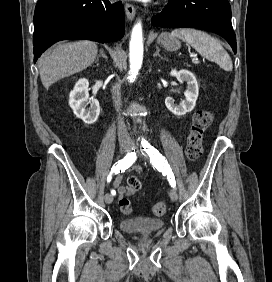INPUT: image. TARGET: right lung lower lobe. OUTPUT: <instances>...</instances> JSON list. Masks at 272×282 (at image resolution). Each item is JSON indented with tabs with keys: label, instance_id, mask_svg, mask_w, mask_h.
I'll list each match as a JSON object with an SVG mask.
<instances>
[{
	"label": "right lung lower lobe",
	"instance_id": "1",
	"mask_svg": "<svg viewBox=\"0 0 272 282\" xmlns=\"http://www.w3.org/2000/svg\"><path fill=\"white\" fill-rule=\"evenodd\" d=\"M125 33L121 2L38 0L34 13V62L57 41H117Z\"/></svg>",
	"mask_w": 272,
	"mask_h": 282
}]
</instances>
